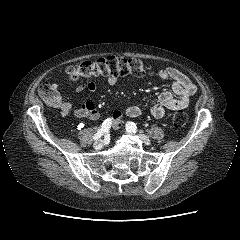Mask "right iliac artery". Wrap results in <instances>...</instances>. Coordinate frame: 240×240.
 <instances>
[{
  "mask_svg": "<svg viewBox=\"0 0 240 240\" xmlns=\"http://www.w3.org/2000/svg\"><path fill=\"white\" fill-rule=\"evenodd\" d=\"M111 124H112V120L110 118L104 120L100 129H98L97 133L93 136V140H97L102 135L107 133L109 131L110 127H111Z\"/></svg>",
  "mask_w": 240,
  "mask_h": 240,
  "instance_id": "1",
  "label": "right iliac artery"
}]
</instances>
